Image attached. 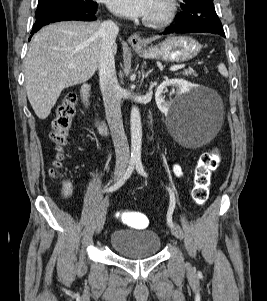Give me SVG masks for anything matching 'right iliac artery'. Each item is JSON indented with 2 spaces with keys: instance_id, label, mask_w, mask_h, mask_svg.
Returning a JSON list of instances; mask_svg holds the SVG:
<instances>
[{
  "instance_id": "82829eb1",
  "label": "right iliac artery",
  "mask_w": 267,
  "mask_h": 301,
  "mask_svg": "<svg viewBox=\"0 0 267 301\" xmlns=\"http://www.w3.org/2000/svg\"><path fill=\"white\" fill-rule=\"evenodd\" d=\"M134 166H135V162L134 161H131L125 171V174L123 175V177L116 183L114 184L113 186L109 187V188H106L104 189L103 192H112V191H115L117 190L118 188H120L124 182L131 176L133 170H134Z\"/></svg>"
}]
</instances>
